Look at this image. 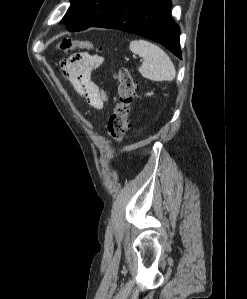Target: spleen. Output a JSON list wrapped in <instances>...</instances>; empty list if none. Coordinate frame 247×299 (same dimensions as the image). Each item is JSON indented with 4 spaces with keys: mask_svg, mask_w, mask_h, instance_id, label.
I'll list each match as a JSON object with an SVG mask.
<instances>
[{
    "mask_svg": "<svg viewBox=\"0 0 247 299\" xmlns=\"http://www.w3.org/2000/svg\"><path fill=\"white\" fill-rule=\"evenodd\" d=\"M129 49L143 58L142 65L138 67L143 77L152 81H172L175 78V66L159 46L145 40H135L130 43Z\"/></svg>",
    "mask_w": 247,
    "mask_h": 299,
    "instance_id": "obj_1",
    "label": "spleen"
}]
</instances>
